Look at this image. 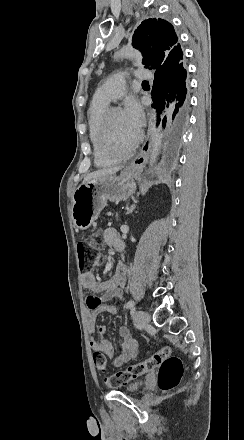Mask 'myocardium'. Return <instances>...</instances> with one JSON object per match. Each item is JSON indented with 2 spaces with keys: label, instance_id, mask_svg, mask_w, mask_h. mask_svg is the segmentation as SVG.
<instances>
[{
  "label": "myocardium",
  "instance_id": "f54148a6",
  "mask_svg": "<svg viewBox=\"0 0 244 440\" xmlns=\"http://www.w3.org/2000/svg\"><path fill=\"white\" fill-rule=\"evenodd\" d=\"M117 110H122L121 107L119 106H112V107H108L107 110L104 113V117H103V122L101 123V126L99 127L101 130L104 128V132H100L98 135L100 136V141L101 142V149L103 150V152L105 154H114L116 151L114 149H112V146H108V139L105 138L107 137L109 134V128L108 125L110 124V120H111V115L113 112L117 111ZM130 145V142L127 141L126 145H120V146H116L117 148L120 147H124V146H128Z\"/></svg>",
  "mask_w": 244,
  "mask_h": 440
}]
</instances>
